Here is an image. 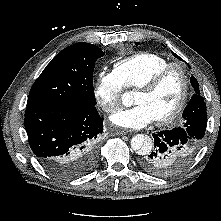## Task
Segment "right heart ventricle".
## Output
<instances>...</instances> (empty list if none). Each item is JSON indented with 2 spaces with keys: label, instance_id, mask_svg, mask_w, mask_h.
<instances>
[{
  "label": "right heart ventricle",
  "instance_id": "obj_1",
  "mask_svg": "<svg viewBox=\"0 0 221 221\" xmlns=\"http://www.w3.org/2000/svg\"><path fill=\"white\" fill-rule=\"evenodd\" d=\"M169 63L159 54L140 52L116 62L113 72L123 88L135 89Z\"/></svg>",
  "mask_w": 221,
  "mask_h": 221
}]
</instances>
